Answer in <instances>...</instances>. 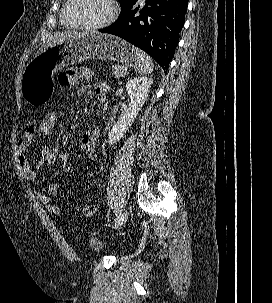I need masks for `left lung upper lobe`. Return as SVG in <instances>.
Returning <instances> with one entry per match:
<instances>
[{
  "label": "left lung upper lobe",
  "instance_id": "left-lung-upper-lobe-1",
  "mask_svg": "<svg viewBox=\"0 0 272 303\" xmlns=\"http://www.w3.org/2000/svg\"><path fill=\"white\" fill-rule=\"evenodd\" d=\"M119 2L122 8L121 15H123L130 7H132L137 2V0H119Z\"/></svg>",
  "mask_w": 272,
  "mask_h": 303
}]
</instances>
